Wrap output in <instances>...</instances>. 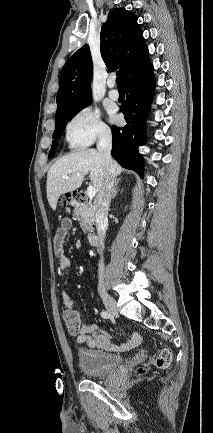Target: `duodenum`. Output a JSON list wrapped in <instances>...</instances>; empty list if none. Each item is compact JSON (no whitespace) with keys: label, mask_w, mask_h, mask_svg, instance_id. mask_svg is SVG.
Segmentation results:
<instances>
[{"label":"duodenum","mask_w":213,"mask_h":433,"mask_svg":"<svg viewBox=\"0 0 213 433\" xmlns=\"http://www.w3.org/2000/svg\"><path fill=\"white\" fill-rule=\"evenodd\" d=\"M77 200L83 202L84 196L77 199ZM89 243L94 247L98 246L99 245V237L95 233L90 234L89 235Z\"/></svg>","instance_id":"410a0bca"}]
</instances>
